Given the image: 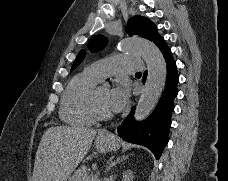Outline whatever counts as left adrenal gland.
<instances>
[{
	"label": "left adrenal gland",
	"mask_w": 228,
	"mask_h": 181,
	"mask_svg": "<svg viewBox=\"0 0 228 181\" xmlns=\"http://www.w3.org/2000/svg\"><path fill=\"white\" fill-rule=\"evenodd\" d=\"M127 157H121V159H116V161H112V159H110L107 167H106V173H108V171H111L112 167H115V165H117V163H121V161H126Z\"/></svg>",
	"instance_id": "obj_1"
}]
</instances>
